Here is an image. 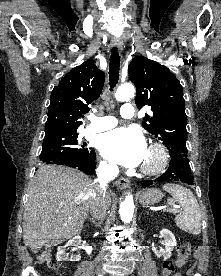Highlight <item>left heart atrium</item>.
I'll return each mask as SVG.
<instances>
[{
  "label": "left heart atrium",
  "instance_id": "obj_1",
  "mask_svg": "<svg viewBox=\"0 0 221 276\" xmlns=\"http://www.w3.org/2000/svg\"><path fill=\"white\" fill-rule=\"evenodd\" d=\"M99 149L106 159L125 167L140 165L147 155L145 139L134 128H118L102 135Z\"/></svg>",
  "mask_w": 221,
  "mask_h": 276
}]
</instances>
